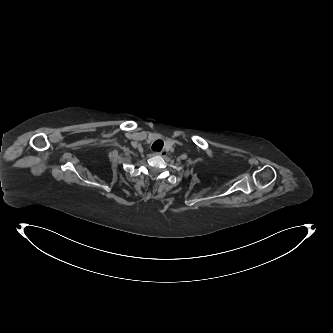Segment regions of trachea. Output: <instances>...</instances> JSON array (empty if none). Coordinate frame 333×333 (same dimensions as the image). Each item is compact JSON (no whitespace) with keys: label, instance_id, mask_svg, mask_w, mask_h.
Returning <instances> with one entry per match:
<instances>
[{"label":"trachea","instance_id":"1","mask_svg":"<svg viewBox=\"0 0 333 333\" xmlns=\"http://www.w3.org/2000/svg\"><path fill=\"white\" fill-rule=\"evenodd\" d=\"M164 146V142L162 140H156L153 144H152V150L153 151H160Z\"/></svg>","mask_w":333,"mask_h":333}]
</instances>
